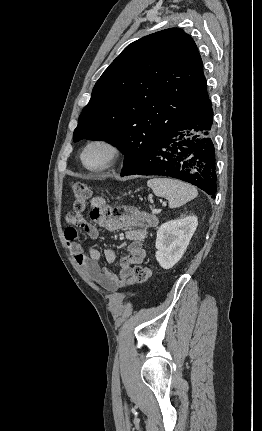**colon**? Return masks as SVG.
<instances>
[{
  "mask_svg": "<svg viewBox=\"0 0 262 431\" xmlns=\"http://www.w3.org/2000/svg\"><path fill=\"white\" fill-rule=\"evenodd\" d=\"M73 212L69 214L75 223L81 221L83 212L87 209L91 192L85 183H75L73 186ZM152 268L147 265L136 266L127 284H146L152 276Z\"/></svg>",
  "mask_w": 262,
  "mask_h": 431,
  "instance_id": "obj_1",
  "label": "colon"
}]
</instances>
